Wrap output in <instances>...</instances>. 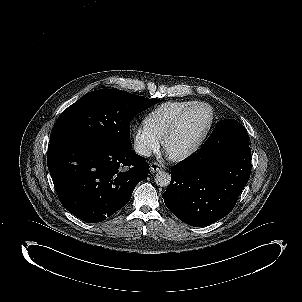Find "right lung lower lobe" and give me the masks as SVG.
I'll list each match as a JSON object with an SVG mask.
<instances>
[{
  "label": "right lung lower lobe",
  "mask_w": 302,
  "mask_h": 302,
  "mask_svg": "<svg viewBox=\"0 0 302 302\" xmlns=\"http://www.w3.org/2000/svg\"><path fill=\"white\" fill-rule=\"evenodd\" d=\"M47 165L61 204L90 223L125 206L149 172L146 160L130 147L100 138L50 143Z\"/></svg>",
  "instance_id": "98d812e1"
}]
</instances>
